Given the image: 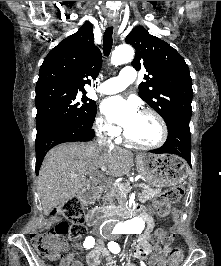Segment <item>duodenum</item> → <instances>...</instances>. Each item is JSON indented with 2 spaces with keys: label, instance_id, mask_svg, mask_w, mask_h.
<instances>
[{
  "label": "duodenum",
  "instance_id": "1",
  "mask_svg": "<svg viewBox=\"0 0 221 266\" xmlns=\"http://www.w3.org/2000/svg\"><path fill=\"white\" fill-rule=\"evenodd\" d=\"M98 191L87 190L83 193L82 198L84 200H89L96 196ZM139 207L130 206V207H115L114 211H106L103 209H94L90 210L86 215V223L89 226L95 225L99 220L105 219L109 216H128L133 215Z\"/></svg>",
  "mask_w": 221,
  "mask_h": 266
}]
</instances>
